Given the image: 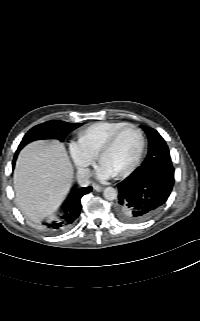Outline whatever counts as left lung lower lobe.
Returning <instances> with one entry per match:
<instances>
[{
  "instance_id": "left-lung-lower-lobe-1",
  "label": "left lung lower lobe",
  "mask_w": 200,
  "mask_h": 321,
  "mask_svg": "<svg viewBox=\"0 0 200 321\" xmlns=\"http://www.w3.org/2000/svg\"><path fill=\"white\" fill-rule=\"evenodd\" d=\"M174 185L172 164L141 165L120 182L116 212L126 223L148 219L168 199Z\"/></svg>"
}]
</instances>
